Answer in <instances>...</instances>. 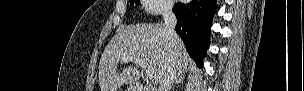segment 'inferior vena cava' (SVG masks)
Wrapping results in <instances>:
<instances>
[{
    "label": "inferior vena cava",
    "instance_id": "obj_1",
    "mask_svg": "<svg viewBox=\"0 0 304 91\" xmlns=\"http://www.w3.org/2000/svg\"><path fill=\"white\" fill-rule=\"evenodd\" d=\"M163 20L168 33V39L170 41V47L174 49V43L178 39V35L175 32V26L177 23L176 17L172 11V6H165L163 10ZM177 74V68L174 63L170 65L168 70L164 73L163 78L159 82V91H170V86L174 81Z\"/></svg>",
    "mask_w": 304,
    "mask_h": 91
}]
</instances>
